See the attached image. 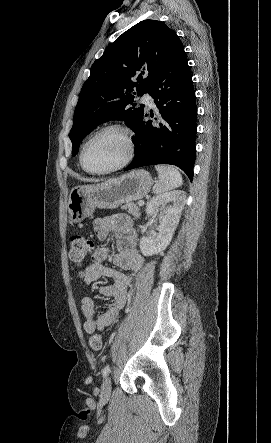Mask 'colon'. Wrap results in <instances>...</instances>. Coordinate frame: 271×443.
<instances>
[{"label":"colon","instance_id":"colon-1","mask_svg":"<svg viewBox=\"0 0 271 443\" xmlns=\"http://www.w3.org/2000/svg\"><path fill=\"white\" fill-rule=\"evenodd\" d=\"M93 241L83 234H73L69 238V259L73 265L80 267L84 264L88 255L93 251ZM89 345L94 351H100L103 347L102 337L99 333H92L89 337Z\"/></svg>","mask_w":271,"mask_h":443}]
</instances>
